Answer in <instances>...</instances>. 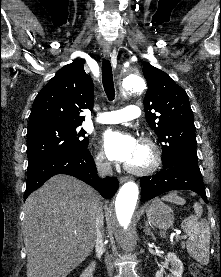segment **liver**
<instances>
[{
  "mask_svg": "<svg viewBox=\"0 0 221 277\" xmlns=\"http://www.w3.org/2000/svg\"><path fill=\"white\" fill-rule=\"evenodd\" d=\"M100 195L84 182L56 175L25 202L27 277H66L95 246Z\"/></svg>",
  "mask_w": 221,
  "mask_h": 277,
  "instance_id": "obj_1",
  "label": "liver"
}]
</instances>
